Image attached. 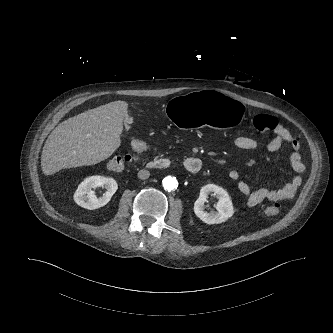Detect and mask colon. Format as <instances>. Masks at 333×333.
Returning <instances> with one entry per match:
<instances>
[{"label":"colon","instance_id":"obj_1","mask_svg":"<svg viewBox=\"0 0 333 333\" xmlns=\"http://www.w3.org/2000/svg\"><path fill=\"white\" fill-rule=\"evenodd\" d=\"M278 122L276 118L267 114H258L254 117L253 126L258 132H272L276 128ZM136 156L126 154L124 156H114L107 162V168L111 171H121L124 167L135 161ZM279 213L277 204L268 205L264 208L263 214L266 217L276 216Z\"/></svg>","mask_w":333,"mask_h":333}]
</instances>
